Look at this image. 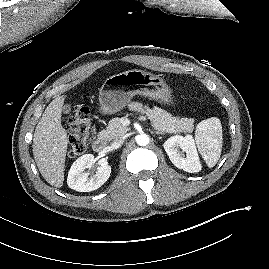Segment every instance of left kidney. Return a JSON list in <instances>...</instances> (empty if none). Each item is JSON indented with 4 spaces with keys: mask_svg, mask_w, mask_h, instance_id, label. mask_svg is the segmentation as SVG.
Returning a JSON list of instances; mask_svg holds the SVG:
<instances>
[{
    "mask_svg": "<svg viewBox=\"0 0 269 269\" xmlns=\"http://www.w3.org/2000/svg\"><path fill=\"white\" fill-rule=\"evenodd\" d=\"M170 161L179 169L189 173L201 170L198 153L191 135L172 136L163 145Z\"/></svg>",
    "mask_w": 269,
    "mask_h": 269,
    "instance_id": "left-kidney-1",
    "label": "left kidney"
}]
</instances>
